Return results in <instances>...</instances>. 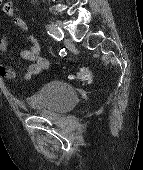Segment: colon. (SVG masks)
I'll use <instances>...</instances> for the list:
<instances>
[{
	"instance_id": "5ec220e1",
	"label": "colon",
	"mask_w": 143,
	"mask_h": 170,
	"mask_svg": "<svg viewBox=\"0 0 143 170\" xmlns=\"http://www.w3.org/2000/svg\"><path fill=\"white\" fill-rule=\"evenodd\" d=\"M71 78L81 82H87L91 79V69L88 66H82L79 68L76 74L71 76Z\"/></svg>"
}]
</instances>
